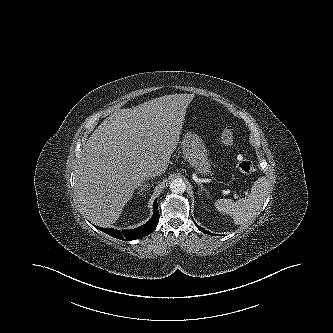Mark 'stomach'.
Returning <instances> with one entry per match:
<instances>
[{"label": "stomach", "mask_w": 333, "mask_h": 333, "mask_svg": "<svg viewBox=\"0 0 333 333\" xmlns=\"http://www.w3.org/2000/svg\"><path fill=\"white\" fill-rule=\"evenodd\" d=\"M185 159L194 170L202 175L211 172L207 149L204 141L197 134L186 131L181 142Z\"/></svg>", "instance_id": "stomach-1"}]
</instances>
